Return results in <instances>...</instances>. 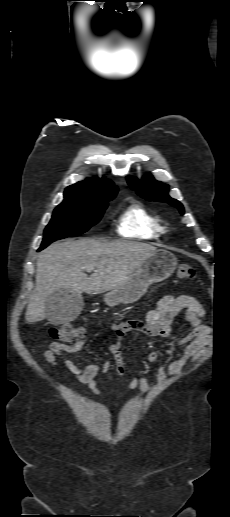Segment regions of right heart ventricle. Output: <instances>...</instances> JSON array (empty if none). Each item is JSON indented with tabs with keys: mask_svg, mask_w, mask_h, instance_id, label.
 Listing matches in <instances>:
<instances>
[{
	"mask_svg": "<svg viewBox=\"0 0 230 517\" xmlns=\"http://www.w3.org/2000/svg\"><path fill=\"white\" fill-rule=\"evenodd\" d=\"M166 229L160 215L138 203L130 204L117 221L118 234L127 238L158 240L165 234Z\"/></svg>",
	"mask_w": 230,
	"mask_h": 517,
	"instance_id": "e07e8e85",
	"label": "right heart ventricle"
}]
</instances>
